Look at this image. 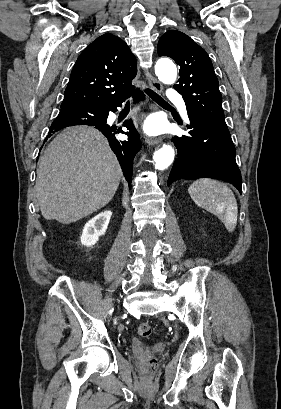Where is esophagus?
<instances>
[{"mask_svg":"<svg viewBox=\"0 0 281 409\" xmlns=\"http://www.w3.org/2000/svg\"><path fill=\"white\" fill-rule=\"evenodd\" d=\"M146 78L148 80V83L150 87L154 88L157 92H162L163 91V86L162 84L155 78L153 77L148 71L145 73ZM162 141L161 138H148L147 143L149 145H156Z\"/></svg>","mask_w":281,"mask_h":409,"instance_id":"1","label":"esophagus"}]
</instances>
